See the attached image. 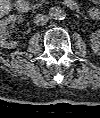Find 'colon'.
Returning a JSON list of instances; mask_svg holds the SVG:
<instances>
[{"instance_id":"1","label":"colon","mask_w":100,"mask_h":118,"mask_svg":"<svg viewBox=\"0 0 100 118\" xmlns=\"http://www.w3.org/2000/svg\"><path fill=\"white\" fill-rule=\"evenodd\" d=\"M91 16L94 17V18H98L99 17V12L95 9H93L91 11Z\"/></svg>"}]
</instances>
